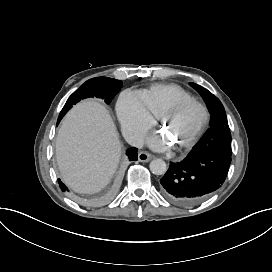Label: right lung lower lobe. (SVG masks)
Segmentation results:
<instances>
[{
	"label": "right lung lower lobe",
	"mask_w": 272,
	"mask_h": 272,
	"mask_svg": "<svg viewBox=\"0 0 272 272\" xmlns=\"http://www.w3.org/2000/svg\"><path fill=\"white\" fill-rule=\"evenodd\" d=\"M60 122V120L57 121V124ZM138 149L137 148H129L127 151H126V155L128 157V159L130 161H135L138 159ZM58 183L62 189V191H66L68 190V188L60 181V179L58 180Z\"/></svg>",
	"instance_id": "98d812e1"
}]
</instances>
